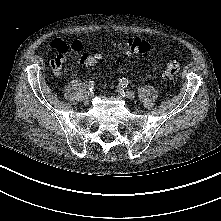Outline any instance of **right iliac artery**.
<instances>
[{
	"instance_id": "obj_1",
	"label": "right iliac artery",
	"mask_w": 221,
	"mask_h": 221,
	"mask_svg": "<svg viewBox=\"0 0 221 221\" xmlns=\"http://www.w3.org/2000/svg\"><path fill=\"white\" fill-rule=\"evenodd\" d=\"M85 89L92 91L94 84L93 81H87L86 83H84Z\"/></svg>"
}]
</instances>
